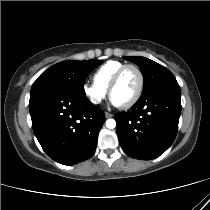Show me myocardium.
<instances>
[{
    "mask_svg": "<svg viewBox=\"0 0 210 210\" xmlns=\"http://www.w3.org/2000/svg\"><path fill=\"white\" fill-rule=\"evenodd\" d=\"M129 68L134 69L138 73L139 87H138L136 94L130 101H128L125 104L119 105V107L121 109H128V108H131L132 106H134L140 100V98L144 92V88H145V76L143 74V71L135 64H124L116 71V73L114 74V76L109 84V87H108L109 96L111 97L112 92H113L114 88L117 86L123 72Z\"/></svg>",
    "mask_w": 210,
    "mask_h": 210,
    "instance_id": "1",
    "label": "myocardium"
}]
</instances>
